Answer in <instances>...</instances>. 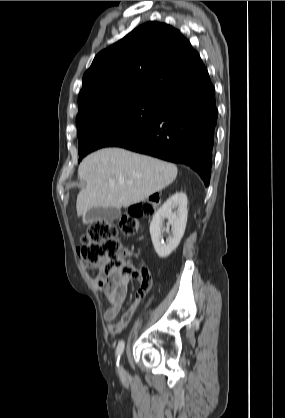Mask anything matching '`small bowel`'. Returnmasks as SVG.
<instances>
[{"instance_id": "c3829d8e", "label": "small bowel", "mask_w": 285, "mask_h": 418, "mask_svg": "<svg viewBox=\"0 0 285 418\" xmlns=\"http://www.w3.org/2000/svg\"><path fill=\"white\" fill-rule=\"evenodd\" d=\"M81 268L85 274L86 279L90 285L94 288L99 286L96 283V279L100 276L98 274L96 277L89 274V271H100V265H90L87 263H81ZM130 277H123L120 273H115L112 275L109 283L105 288L102 289L103 294L109 302V309L104 313V319L107 325V330L110 334L116 335L119 334L129 323L133 313L135 312L138 305V295L142 291L145 293L151 287L152 276L151 272L146 264L141 266V271L138 277L139 288L136 291V299L130 305L128 310L123 314L120 321L114 323L113 320L118 314L122 311L123 302L127 293L128 284L130 282Z\"/></svg>"}]
</instances>
